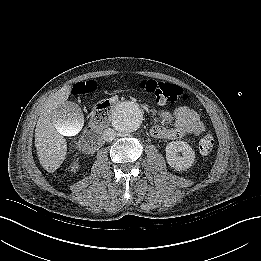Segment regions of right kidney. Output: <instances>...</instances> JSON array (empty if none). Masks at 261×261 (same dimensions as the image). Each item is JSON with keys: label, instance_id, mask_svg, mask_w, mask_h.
<instances>
[{"label": "right kidney", "instance_id": "obj_1", "mask_svg": "<svg viewBox=\"0 0 261 261\" xmlns=\"http://www.w3.org/2000/svg\"><path fill=\"white\" fill-rule=\"evenodd\" d=\"M78 168H79L78 163H73V164L71 165V171H72V172H76V171L78 170Z\"/></svg>", "mask_w": 261, "mask_h": 261}]
</instances>
